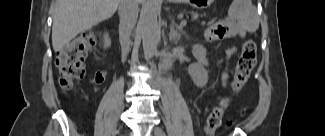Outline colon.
I'll use <instances>...</instances> for the list:
<instances>
[{
    "mask_svg": "<svg viewBox=\"0 0 325 136\" xmlns=\"http://www.w3.org/2000/svg\"><path fill=\"white\" fill-rule=\"evenodd\" d=\"M98 42V36L93 33L78 35L70 43L65 45L56 57V67L59 73V85L63 90H69L85 74V59L94 52ZM257 47L253 40H246L242 45L238 59L231 93L221 99L207 117L205 133L211 136L221 125L225 110L229 106L231 98L238 93L247 82L249 75L255 66Z\"/></svg>",
    "mask_w": 325,
    "mask_h": 136,
    "instance_id": "colon-1",
    "label": "colon"
}]
</instances>
